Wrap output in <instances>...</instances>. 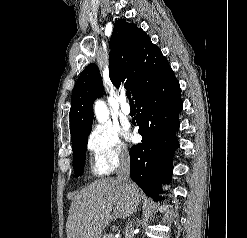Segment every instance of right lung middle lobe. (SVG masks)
Here are the masks:
<instances>
[{"label": "right lung middle lobe", "mask_w": 247, "mask_h": 238, "mask_svg": "<svg viewBox=\"0 0 247 238\" xmlns=\"http://www.w3.org/2000/svg\"><path fill=\"white\" fill-rule=\"evenodd\" d=\"M88 135L89 133L72 145L73 166L76 177L82 175L84 170V160L87 148Z\"/></svg>", "instance_id": "right-lung-middle-lobe-1"}]
</instances>
